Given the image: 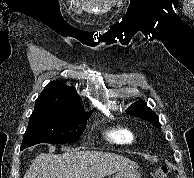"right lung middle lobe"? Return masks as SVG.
I'll return each instance as SVG.
<instances>
[{"label":"right lung middle lobe","mask_w":194,"mask_h":178,"mask_svg":"<svg viewBox=\"0 0 194 178\" xmlns=\"http://www.w3.org/2000/svg\"><path fill=\"white\" fill-rule=\"evenodd\" d=\"M89 114L70 112L49 104H36L29 118L21 149L38 143L66 144L80 139Z\"/></svg>","instance_id":"right-lung-middle-lobe-1"}]
</instances>
